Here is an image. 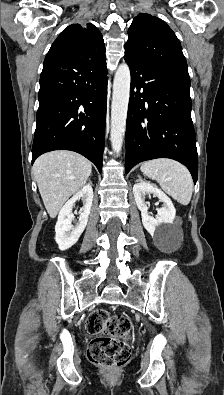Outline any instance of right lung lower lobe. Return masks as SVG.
Returning a JSON list of instances; mask_svg holds the SVG:
<instances>
[{"label":"right lung lower lobe","instance_id":"1","mask_svg":"<svg viewBox=\"0 0 224 395\" xmlns=\"http://www.w3.org/2000/svg\"><path fill=\"white\" fill-rule=\"evenodd\" d=\"M32 163L53 150H71L99 172L105 137L106 58L84 60L64 50L48 52L40 77Z\"/></svg>","mask_w":224,"mask_h":395}]
</instances>
